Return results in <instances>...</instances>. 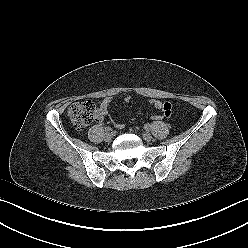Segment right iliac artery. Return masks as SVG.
Wrapping results in <instances>:
<instances>
[{
  "label": "right iliac artery",
  "instance_id": "82829eb1",
  "mask_svg": "<svg viewBox=\"0 0 248 248\" xmlns=\"http://www.w3.org/2000/svg\"><path fill=\"white\" fill-rule=\"evenodd\" d=\"M105 131H106V132H109V131H111V128H110L109 126H106V127H105Z\"/></svg>",
  "mask_w": 248,
  "mask_h": 248
}]
</instances>
